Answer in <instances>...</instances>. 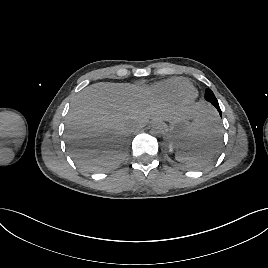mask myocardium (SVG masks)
<instances>
[{
    "mask_svg": "<svg viewBox=\"0 0 268 268\" xmlns=\"http://www.w3.org/2000/svg\"><path fill=\"white\" fill-rule=\"evenodd\" d=\"M182 102L184 104H191L195 101L197 98V93L194 91V89L189 88L182 94Z\"/></svg>",
    "mask_w": 268,
    "mask_h": 268,
    "instance_id": "obj_1",
    "label": "myocardium"
}]
</instances>
